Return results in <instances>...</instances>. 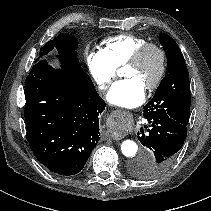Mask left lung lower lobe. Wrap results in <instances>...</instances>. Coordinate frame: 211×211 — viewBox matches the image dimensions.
I'll list each match as a JSON object with an SVG mask.
<instances>
[{"mask_svg":"<svg viewBox=\"0 0 211 211\" xmlns=\"http://www.w3.org/2000/svg\"><path fill=\"white\" fill-rule=\"evenodd\" d=\"M147 120L151 128L146 134L141 129L138 140L152 151V158L146 160L139 157L131 163V168L136 170L140 178L152 179L166 172L175 161L186 139L187 126L169 117Z\"/></svg>","mask_w":211,"mask_h":211,"instance_id":"1","label":"left lung lower lobe"}]
</instances>
